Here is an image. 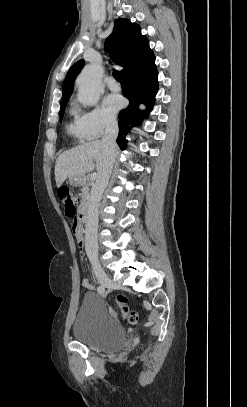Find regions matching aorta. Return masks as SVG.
<instances>
[{"mask_svg":"<svg viewBox=\"0 0 247 407\" xmlns=\"http://www.w3.org/2000/svg\"><path fill=\"white\" fill-rule=\"evenodd\" d=\"M103 69L96 64L88 65L77 79L78 100L88 106H94L102 93Z\"/></svg>","mask_w":247,"mask_h":407,"instance_id":"1","label":"aorta"}]
</instances>
